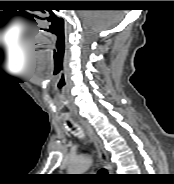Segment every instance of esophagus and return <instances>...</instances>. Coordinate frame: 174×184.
<instances>
[{
    "label": "esophagus",
    "mask_w": 174,
    "mask_h": 184,
    "mask_svg": "<svg viewBox=\"0 0 174 184\" xmlns=\"http://www.w3.org/2000/svg\"><path fill=\"white\" fill-rule=\"evenodd\" d=\"M80 122L82 123V125L85 127L91 141L93 142L95 148H96V151H97V154H98V158H99V162L100 164L108 169L109 171H111V165L109 163V160H108V155H107V152L106 150L104 149V146H103V143L102 141L100 140V138L94 133L93 129L84 121V120H80Z\"/></svg>",
    "instance_id": "obj_1"
}]
</instances>
